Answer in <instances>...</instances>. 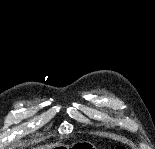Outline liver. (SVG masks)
<instances>
[{"label": "liver", "instance_id": "6515ba94", "mask_svg": "<svg viewBox=\"0 0 155 149\" xmlns=\"http://www.w3.org/2000/svg\"><path fill=\"white\" fill-rule=\"evenodd\" d=\"M62 143H51L42 146H38L36 149H54L56 147H61Z\"/></svg>", "mask_w": 155, "mask_h": 149}]
</instances>
